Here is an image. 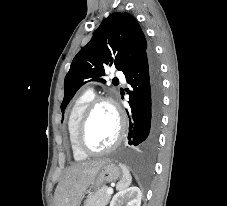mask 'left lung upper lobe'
<instances>
[{
    "instance_id": "5c2ea615",
    "label": "left lung upper lobe",
    "mask_w": 227,
    "mask_h": 206,
    "mask_svg": "<svg viewBox=\"0 0 227 206\" xmlns=\"http://www.w3.org/2000/svg\"><path fill=\"white\" fill-rule=\"evenodd\" d=\"M148 51L137 20L129 13L111 14L71 63L64 81L62 114L77 90L88 81H98L107 66L114 65L126 74Z\"/></svg>"
}]
</instances>
